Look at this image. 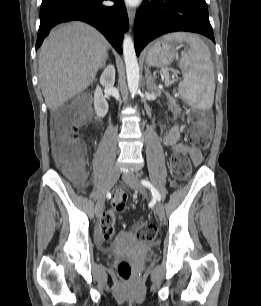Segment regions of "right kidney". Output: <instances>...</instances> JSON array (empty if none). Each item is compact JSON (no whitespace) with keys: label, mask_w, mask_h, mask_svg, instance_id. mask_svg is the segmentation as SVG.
Returning a JSON list of instances; mask_svg holds the SVG:
<instances>
[{"label":"right kidney","mask_w":261,"mask_h":306,"mask_svg":"<svg viewBox=\"0 0 261 306\" xmlns=\"http://www.w3.org/2000/svg\"><path fill=\"white\" fill-rule=\"evenodd\" d=\"M115 82V67L113 65L107 66L104 69L101 78L100 84L105 88L112 87ZM108 102L103 96L102 89L97 86L94 92V109L98 117H104L108 112Z\"/></svg>","instance_id":"obj_1"}]
</instances>
